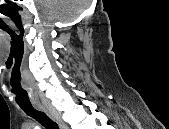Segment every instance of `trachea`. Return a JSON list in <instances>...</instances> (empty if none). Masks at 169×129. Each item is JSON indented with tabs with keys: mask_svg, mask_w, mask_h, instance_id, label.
Returning <instances> with one entry per match:
<instances>
[{
	"mask_svg": "<svg viewBox=\"0 0 169 129\" xmlns=\"http://www.w3.org/2000/svg\"><path fill=\"white\" fill-rule=\"evenodd\" d=\"M20 108L30 117L38 121L46 129H59L58 125L53 122L44 112L31 106H21Z\"/></svg>",
	"mask_w": 169,
	"mask_h": 129,
	"instance_id": "1",
	"label": "trachea"
}]
</instances>
